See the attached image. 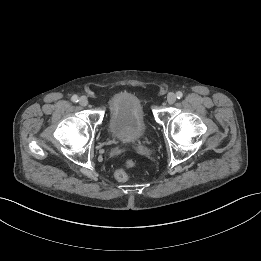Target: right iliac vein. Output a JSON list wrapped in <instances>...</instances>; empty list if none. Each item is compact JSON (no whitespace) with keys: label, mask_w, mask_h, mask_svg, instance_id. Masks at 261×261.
<instances>
[{"label":"right iliac vein","mask_w":261,"mask_h":261,"mask_svg":"<svg viewBox=\"0 0 261 261\" xmlns=\"http://www.w3.org/2000/svg\"><path fill=\"white\" fill-rule=\"evenodd\" d=\"M79 104H80L81 106H87V105H88V99H87V97H85V96L80 97V99H79Z\"/></svg>","instance_id":"right-iliac-vein-1"}]
</instances>
